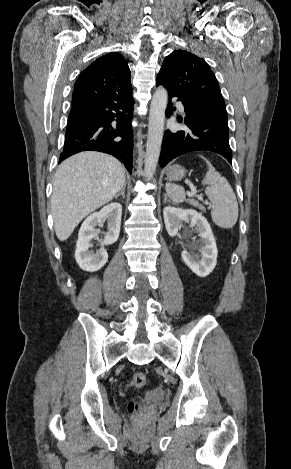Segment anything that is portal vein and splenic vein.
Here are the masks:
<instances>
[{"label":"portal vein and splenic vein","mask_w":291,"mask_h":469,"mask_svg":"<svg viewBox=\"0 0 291 469\" xmlns=\"http://www.w3.org/2000/svg\"><path fill=\"white\" fill-rule=\"evenodd\" d=\"M187 183H188V184L190 185V187H191V193H190V194H191V195H195V194L197 193L196 188H195L193 185H191L189 182H187Z\"/></svg>","instance_id":"1"}]
</instances>
